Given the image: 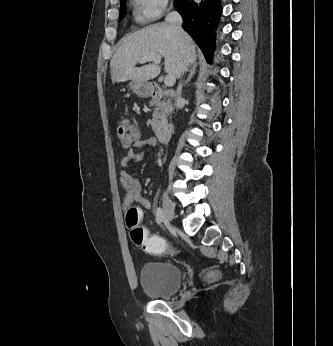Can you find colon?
Wrapping results in <instances>:
<instances>
[{"instance_id": "obj_1", "label": "colon", "mask_w": 333, "mask_h": 346, "mask_svg": "<svg viewBox=\"0 0 333 346\" xmlns=\"http://www.w3.org/2000/svg\"><path fill=\"white\" fill-rule=\"evenodd\" d=\"M117 135L120 144L129 148L134 146L138 141L137 126L128 119H123L118 126ZM141 211L135 205H129L126 212L125 223L130 229V236L134 244L142 247L144 254L149 256H168L169 251H177V244H167L166 235H148L147 227L141 225ZM166 246V247H165ZM164 247L166 249H164ZM179 257L178 255L176 256ZM207 274L215 279L221 274L219 269H210Z\"/></svg>"}]
</instances>
